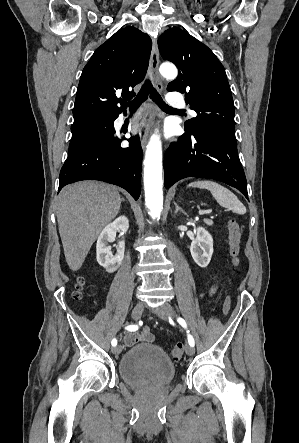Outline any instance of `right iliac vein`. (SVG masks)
Wrapping results in <instances>:
<instances>
[{
    "mask_svg": "<svg viewBox=\"0 0 299 443\" xmlns=\"http://www.w3.org/2000/svg\"><path fill=\"white\" fill-rule=\"evenodd\" d=\"M143 310H144V306H143V304L142 303H137L135 306H134V308H133V310H132V318L134 319V320H139L140 318H141V315H142V313H143ZM121 351H122V346L121 345H117L116 347H114L113 349H112V353L114 354V355H116V356H118L120 353H121Z\"/></svg>",
    "mask_w": 299,
    "mask_h": 443,
    "instance_id": "right-iliac-vein-1",
    "label": "right iliac vein"
}]
</instances>
